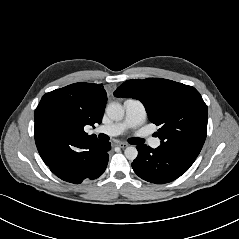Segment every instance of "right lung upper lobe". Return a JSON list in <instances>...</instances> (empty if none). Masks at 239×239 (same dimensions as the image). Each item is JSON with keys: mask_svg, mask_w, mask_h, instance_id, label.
<instances>
[{"mask_svg": "<svg viewBox=\"0 0 239 239\" xmlns=\"http://www.w3.org/2000/svg\"><path fill=\"white\" fill-rule=\"evenodd\" d=\"M106 101L102 84L79 82L46 93L34 113L35 142L43 161L62 145L97 140L84 127L102 122Z\"/></svg>", "mask_w": 239, "mask_h": 239, "instance_id": "obj_1", "label": "right lung upper lobe"}]
</instances>
